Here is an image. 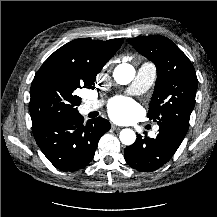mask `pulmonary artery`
<instances>
[{
  "instance_id": "pulmonary-artery-1",
  "label": "pulmonary artery",
  "mask_w": 217,
  "mask_h": 217,
  "mask_svg": "<svg viewBox=\"0 0 217 217\" xmlns=\"http://www.w3.org/2000/svg\"><path fill=\"white\" fill-rule=\"evenodd\" d=\"M156 78V67L150 62H143L137 71L134 81L127 89L129 94H141L146 92L154 83ZM103 104L101 100L87 101L80 107L81 114H88L99 109ZM159 129L158 125L153 127V132L156 133Z\"/></svg>"
}]
</instances>
